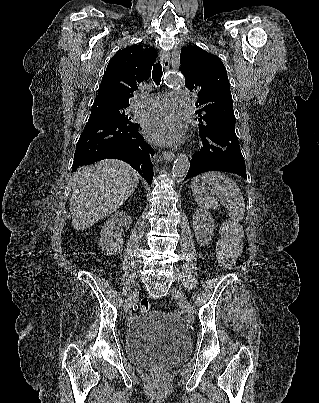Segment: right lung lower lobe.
I'll use <instances>...</instances> for the list:
<instances>
[{"mask_svg":"<svg viewBox=\"0 0 319 403\" xmlns=\"http://www.w3.org/2000/svg\"><path fill=\"white\" fill-rule=\"evenodd\" d=\"M140 125L109 120L88 121L76 145L72 171L102 159L130 164L148 184L153 178V148L138 132Z\"/></svg>","mask_w":319,"mask_h":403,"instance_id":"right-lung-lower-lobe-1","label":"right lung lower lobe"}]
</instances>
